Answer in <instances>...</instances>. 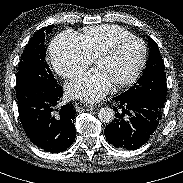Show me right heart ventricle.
<instances>
[{
	"label": "right heart ventricle",
	"instance_id": "e07e8e85",
	"mask_svg": "<svg viewBox=\"0 0 183 183\" xmlns=\"http://www.w3.org/2000/svg\"><path fill=\"white\" fill-rule=\"evenodd\" d=\"M131 35V32L116 25H100L85 28L79 38L85 52L93 59L115 40Z\"/></svg>",
	"mask_w": 183,
	"mask_h": 183
}]
</instances>
